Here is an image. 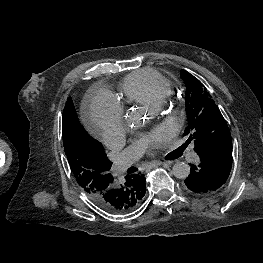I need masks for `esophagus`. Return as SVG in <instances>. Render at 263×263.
<instances>
[{
  "instance_id": "1",
  "label": "esophagus",
  "mask_w": 263,
  "mask_h": 263,
  "mask_svg": "<svg viewBox=\"0 0 263 263\" xmlns=\"http://www.w3.org/2000/svg\"><path fill=\"white\" fill-rule=\"evenodd\" d=\"M167 163H168V164H171L172 162H167ZM161 164H162V162H160V161L152 162V163H150V164L148 165V169H151V168L156 167V166L161 165Z\"/></svg>"
}]
</instances>
